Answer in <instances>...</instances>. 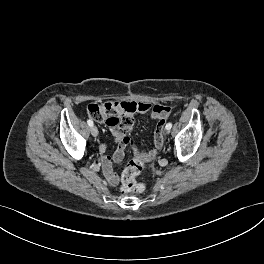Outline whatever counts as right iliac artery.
Masks as SVG:
<instances>
[{
	"mask_svg": "<svg viewBox=\"0 0 264 264\" xmlns=\"http://www.w3.org/2000/svg\"><path fill=\"white\" fill-rule=\"evenodd\" d=\"M87 123H88V125L90 126V127H92L93 126V121L92 120H87Z\"/></svg>",
	"mask_w": 264,
	"mask_h": 264,
	"instance_id": "1",
	"label": "right iliac artery"
}]
</instances>
